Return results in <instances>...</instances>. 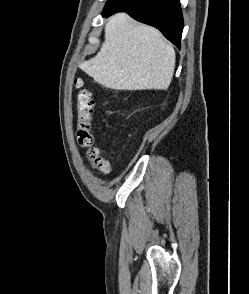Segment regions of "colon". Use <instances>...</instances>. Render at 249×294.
Masks as SVG:
<instances>
[{
    "instance_id": "colon-1",
    "label": "colon",
    "mask_w": 249,
    "mask_h": 294,
    "mask_svg": "<svg viewBox=\"0 0 249 294\" xmlns=\"http://www.w3.org/2000/svg\"><path fill=\"white\" fill-rule=\"evenodd\" d=\"M78 88L76 98V135L80 147L86 149V159L100 173L110 172L109 162L103 158L98 148L94 146L92 131L94 100L91 91L84 87L80 79L76 80Z\"/></svg>"
}]
</instances>
